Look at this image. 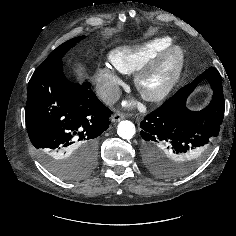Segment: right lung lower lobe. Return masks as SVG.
<instances>
[{"mask_svg":"<svg viewBox=\"0 0 236 236\" xmlns=\"http://www.w3.org/2000/svg\"><path fill=\"white\" fill-rule=\"evenodd\" d=\"M110 116L90 83L70 82L62 63L38 67L29 81L26 128L42 155L96 162L98 137L109 127Z\"/></svg>","mask_w":236,"mask_h":236,"instance_id":"obj_1","label":"right lung lower lobe"}]
</instances>
